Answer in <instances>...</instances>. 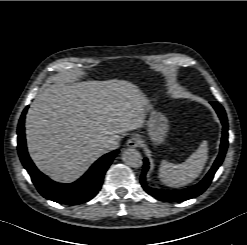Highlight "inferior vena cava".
Instances as JSON below:
<instances>
[{
  "instance_id": "inferior-vena-cava-1",
  "label": "inferior vena cava",
  "mask_w": 247,
  "mask_h": 245,
  "mask_svg": "<svg viewBox=\"0 0 247 245\" xmlns=\"http://www.w3.org/2000/svg\"><path fill=\"white\" fill-rule=\"evenodd\" d=\"M102 147L105 152H109L118 147V142L113 138H108L103 142Z\"/></svg>"
}]
</instances>
